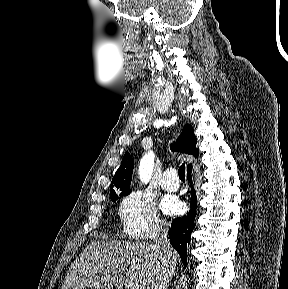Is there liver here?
Segmentation results:
<instances>
[{
  "mask_svg": "<svg viewBox=\"0 0 288 289\" xmlns=\"http://www.w3.org/2000/svg\"><path fill=\"white\" fill-rule=\"evenodd\" d=\"M173 259L176 265L174 250ZM163 269L154 244L94 241L71 264L62 289H167Z\"/></svg>",
  "mask_w": 288,
  "mask_h": 289,
  "instance_id": "6515ba94",
  "label": "liver"
}]
</instances>
